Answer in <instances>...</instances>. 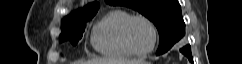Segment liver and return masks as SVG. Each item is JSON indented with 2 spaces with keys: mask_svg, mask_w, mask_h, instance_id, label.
I'll use <instances>...</instances> for the list:
<instances>
[{
  "mask_svg": "<svg viewBox=\"0 0 242 64\" xmlns=\"http://www.w3.org/2000/svg\"><path fill=\"white\" fill-rule=\"evenodd\" d=\"M142 60H115V59H92L86 61L85 63L78 64H138L141 63Z\"/></svg>",
  "mask_w": 242,
  "mask_h": 64,
  "instance_id": "1",
  "label": "liver"
}]
</instances>
